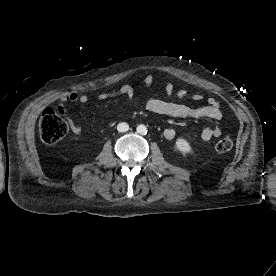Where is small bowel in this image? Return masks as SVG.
<instances>
[{
	"label": "small bowel",
	"mask_w": 276,
	"mask_h": 276,
	"mask_svg": "<svg viewBox=\"0 0 276 276\" xmlns=\"http://www.w3.org/2000/svg\"><path fill=\"white\" fill-rule=\"evenodd\" d=\"M155 81V77L151 74L147 75L144 80V89H148ZM165 90L168 97L175 96L176 99H183L187 96L188 92L185 89H181L174 94V87L172 82L168 81L165 84ZM119 96H125L127 99H132L134 96V90L130 85H124L120 89L113 92H103L98 95L99 100H107ZM202 94H195L192 99L195 102L203 100ZM89 98L85 94L77 92H71L66 95H62L59 98V110L65 112V105L68 102L86 104ZM146 109L155 114L165 115L175 118H208L212 120H221L223 117L222 111L218 102L214 98H209L208 103L203 106L192 107L186 104L162 100L157 98H151L146 102ZM68 122L71 131L74 134H80L81 126L76 123L71 117H68ZM222 134V130L219 127L204 128L200 132V137L203 141H209L214 137H219ZM163 135L165 139L172 140L176 136V130L174 128H167L164 130Z\"/></svg>",
	"instance_id": "small-bowel-1"
}]
</instances>
